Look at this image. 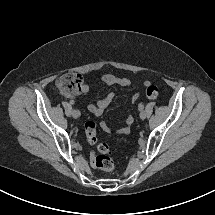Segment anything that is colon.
<instances>
[{
  "mask_svg": "<svg viewBox=\"0 0 215 215\" xmlns=\"http://www.w3.org/2000/svg\"><path fill=\"white\" fill-rule=\"evenodd\" d=\"M83 78L77 72L64 73L57 82L58 89L65 94L74 95L83 92ZM145 95L148 99H155L159 95L157 85L148 84L145 89ZM86 137L88 142L94 146L90 154V164L93 168L104 172H111L114 169V162L109 156L110 149L104 144L98 142L96 136V122L88 121L85 125Z\"/></svg>",
  "mask_w": 215,
  "mask_h": 215,
  "instance_id": "obj_1",
  "label": "colon"
}]
</instances>
